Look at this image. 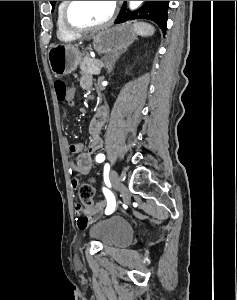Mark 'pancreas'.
<instances>
[{
	"mask_svg": "<svg viewBox=\"0 0 237 300\" xmlns=\"http://www.w3.org/2000/svg\"><path fill=\"white\" fill-rule=\"evenodd\" d=\"M97 61L95 59H90V57H84L82 63L79 65L80 73L82 75H99L101 68H96ZM103 67L105 65L102 64Z\"/></svg>",
	"mask_w": 237,
	"mask_h": 300,
	"instance_id": "obj_1",
	"label": "pancreas"
}]
</instances>
